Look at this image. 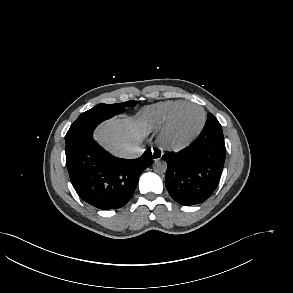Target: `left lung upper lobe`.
Listing matches in <instances>:
<instances>
[{"instance_id": "obj_1", "label": "left lung upper lobe", "mask_w": 293, "mask_h": 293, "mask_svg": "<svg viewBox=\"0 0 293 293\" xmlns=\"http://www.w3.org/2000/svg\"><path fill=\"white\" fill-rule=\"evenodd\" d=\"M207 118H213V119H215V120L218 122V120L214 117L213 114H208ZM218 123H219V122H218ZM219 124H220V123H219Z\"/></svg>"}]
</instances>
